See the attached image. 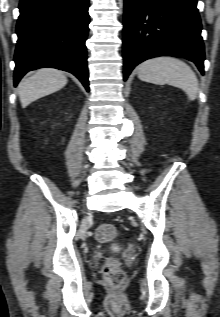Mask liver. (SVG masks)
Returning <instances> with one entry per match:
<instances>
[{"instance_id": "1", "label": "liver", "mask_w": 220, "mask_h": 317, "mask_svg": "<svg viewBox=\"0 0 220 317\" xmlns=\"http://www.w3.org/2000/svg\"><path fill=\"white\" fill-rule=\"evenodd\" d=\"M67 84V77L57 69L43 68L33 72L22 80L18 94L23 108L44 96L62 89Z\"/></svg>"}]
</instances>
